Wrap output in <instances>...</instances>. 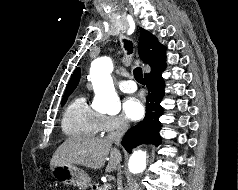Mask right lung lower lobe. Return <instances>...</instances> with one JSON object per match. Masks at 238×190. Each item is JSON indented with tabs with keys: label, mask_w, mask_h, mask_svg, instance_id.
I'll use <instances>...</instances> for the list:
<instances>
[{
	"label": "right lung lower lobe",
	"mask_w": 238,
	"mask_h": 190,
	"mask_svg": "<svg viewBox=\"0 0 238 190\" xmlns=\"http://www.w3.org/2000/svg\"><path fill=\"white\" fill-rule=\"evenodd\" d=\"M164 68L165 66L159 71L145 76V82L149 92L146 97V116L143 121L130 128L124 135L121 143L128 152H131L132 148L140 144H160L159 117L163 113L160 102L164 96V81L161 73Z\"/></svg>",
	"instance_id": "obj_1"
}]
</instances>
